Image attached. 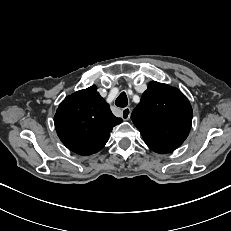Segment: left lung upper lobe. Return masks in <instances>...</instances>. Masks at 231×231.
Masks as SVG:
<instances>
[{"instance_id": "1", "label": "left lung upper lobe", "mask_w": 231, "mask_h": 231, "mask_svg": "<svg viewBox=\"0 0 231 231\" xmlns=\"http://www.w3.org/2000/svg\"><path fill=\"white\" fill-rule=\"evenodd\" d=\"M192 114V107L180 90L151 81L131 119L150 149L167 153L187 138Z\"/></svg>"}]
</instances>
